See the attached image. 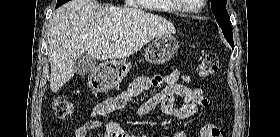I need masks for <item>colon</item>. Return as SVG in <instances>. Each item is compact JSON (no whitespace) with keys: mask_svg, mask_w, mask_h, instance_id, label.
I'll use <instances>...</instances> for the list:
<instances>
[{"mask_svg":"<svg viewBox=\"0 0 280 137\" xmlns=\"http://www.w3.org/2000/svg\"><path fill=\"white\" fill-rule=\"evenodd\" d=\"M219 67V57L214 53H209L205 55L199 62L197 72L199 76L208 78L216 75L219 71ZM121 97L122 99L129 101L131 100L132 95H130L128 92H125L121 94ZM52 106L56 117L59 119L69 118L75 109L74 104L65 97H56L52 102ZM201 137H224V131L217 126L210 127L201 133Z\"/></svg>","mask_w":280,"mask_h":137,"instance_id":"1","label":"colon"}]
</instances>
